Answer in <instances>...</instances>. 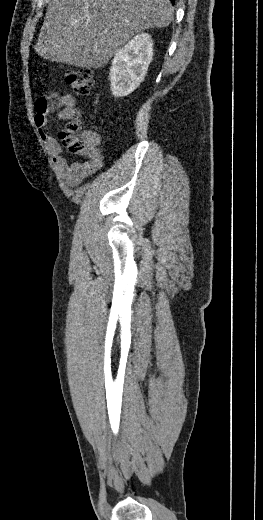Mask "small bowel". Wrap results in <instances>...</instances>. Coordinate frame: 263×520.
Masks as SVG:
<instances>
[{
	"label": "small bowel",
	"mask_w": 263,
	"mask_h": 520,
	"mask_svg": "<svg viewBox=\"0 0 263 520\" xmlns=\"http://www.w3.org/2000/svg\"><path fill=\"white\" fill-rule=\"evenodd\" d=\"M77 101L71 94L61 95L55 91L41 95L35 101L34 122L39 130L40 136L47 149L53 157V163L60 172L64 182L68 186H77L85 178L98 171L102 166V156L100 154V137L97 133L88 131L85 137L97 148V155L90 161L73 162L68 161L61 154V147L56 139L47 131L48 116L56 112L58 120H68L74 114Z\"/></svg>",
	"instance_id": "c3829d8e"
}]
</instances>
